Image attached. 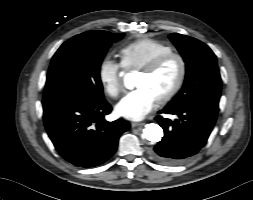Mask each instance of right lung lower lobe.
<instances>
[{
    "label": "right lung lower lobe",
    "instance_id": "1",
    "mask_svg": "<svg viewBox=\"0 0 253 200\" xmlns=\"http://www.w3.org/2000/svg\"><path fill=\"white\" fill-rule=\"evenodd\" d=\"M112 111L105 100L85 103L69 99L43 101L47 133L59 154L75 166L95 167L115 153L119 137L130 128L122 119H104Z\"/></svg>",
    "mask_w": 253,
    "mask_h": 200
}]
</instances>
